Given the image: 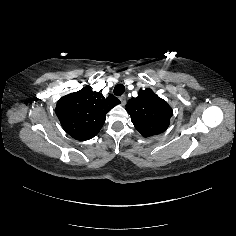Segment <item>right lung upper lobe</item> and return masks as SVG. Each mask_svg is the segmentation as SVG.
<instances>
[{"label":"right lung upper lobe","mask_w":236,"mask_h":236,"mask_svg":"<svg viewBox=\"0 0 236 236\" xmlns=\"http://www.w3.org/2000/svg\"><path fill=\"white\" fill-rule=\"evenodd\" d=\"M120 104L113 95L107 98L87 86L63 96L56 105V115L63 129L74 139L85 141L95 137L102 128L106 114Z\"/></svg>","instance_id":"1"}]
</instances>
